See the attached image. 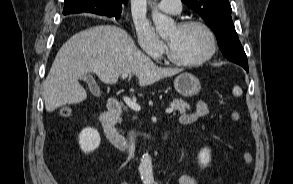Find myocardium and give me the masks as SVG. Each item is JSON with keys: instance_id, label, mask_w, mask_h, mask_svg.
Returning <instances> with one entry per match:
<instances>
[{"instance_id": "obj_1", "label": "myocardium", "mask_w": 293, "mask_h": 184, "mask_svg": "<svg viewBox=\"0 0 293 184\" xmlns=\"http://www.w3.org/2000/svg\"><path fill=\"white\" fill-rule=\"evenodd\" d=\"M191 27H199L202 30H204V32L207 34V36L209 38V42H210L209 49H208L207 53L199 59L182 60L174 55L170 46L168 45L167 51H166L167 58L169 59V61H171L172 63H174L176 65L185 66V67H194V66L202 65V64L206 63L207 61H209L215 55V53L217 51V38H216L214 31L212 30V28L208 24H206L203 21H199V20H188V21H183V22L179 23V25H178V28H180V29H187V28H191Z\"/></svg>"}]
</instances>
